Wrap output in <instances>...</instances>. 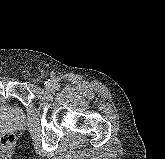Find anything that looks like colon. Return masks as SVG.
<instances>
[{
	"label": "colon",
	"mask_w": 165,
	"mask_h": 159,
	"mask_svg": "<svg viewBox=\"0 0 165 159\" xmlns=\"http://www.w3.org/2000/svg\"><path fill=\"white\" fill-rule=\"evenodd\" d=\"M14 143H15V136L12 133L6 132L0 134V147L10 148L13 146Z\"/></svg>",
	"instance_id": "obj_1"
}]
</instances>
